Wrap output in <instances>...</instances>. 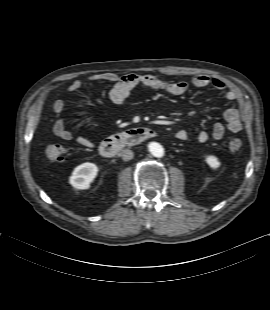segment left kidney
Instances as JSON below:
<instances>
[{"instance_id":"5707ae66","label":"left kidney","mask_w":270,"mask_h":310,"mask_svg":"<svg viewBox=\"0 0 270 310\" xmlns=\"http://www.w3.org/2000/svg\"><path fill=\"white\" fill-rule=\"evenodd\" d=\"M206 163L210 166L212 169H217L220 167L221 163L218 160L216 156L209 155L205 158Z\"/></svg>"}]
</instances>
